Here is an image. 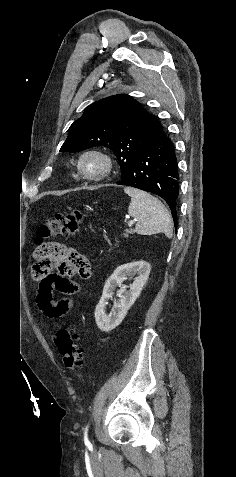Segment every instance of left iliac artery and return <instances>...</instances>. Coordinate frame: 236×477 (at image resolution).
I'll use <instances>...</instances> for the list:
<instances>
[{"instance_id":"44dca946","label":"left iliac artery","mask_w":236,"mask_h":477,"mask_svg":"<svg viewBox=\"0 0 236 477\" xmlns=\"http://www.w3.org/2000/svg\"><path fill=\"white\" fill-rule=\"evenodd\" d=\"M87 432H88V426H86L85 430H84V442H85V444L89 443Z\"/></svg>"}]
</instances>
